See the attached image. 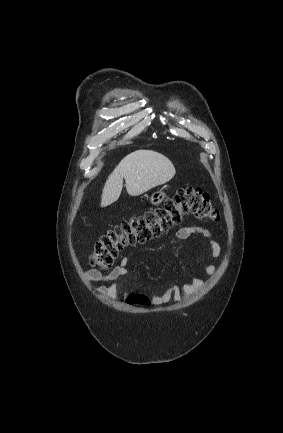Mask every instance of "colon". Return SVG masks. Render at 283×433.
<instances>
[{
    "label": "colon",
    "instance_id": "colon-1",
    "mask_svg": "<svg viewBox=\"0 0 283 433\" xmlns=\"http://www.w3.org/2000/svg\"><path fill=\"white\" fill-rule=\"evenodd\" d=\"M189 214L209 222L220 219L217 208L206 192L193 187L179 188L162 206L123 219L103 234L90 254V263L102 270H107L112 267L125 248L144 244L162 236ZM128 302L148 305L150 300L143 294H134L128 298Z\"/></svg>",
    "mask_w": 283,
    "mask_h": 433
}]
</instances>
